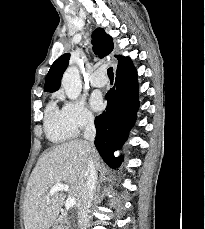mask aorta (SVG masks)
I'll return each mask as SVG.
<instances>
[{"mask_svg":"<svg viewBox=\"0 0 205 229\" xmlns=\"http://www.w3.org/2000/svg\"><path fill=\"white\" fill-rule=\"evenodd\" d=\"M61 84L67 97L71 100H76L82 91L78 68L75 66L68 67L63 74Z\"/></svg>","mask_w":205,"mask_h":229,"instance_id":"aorta-1","label":"aorta"}]
</instances>
